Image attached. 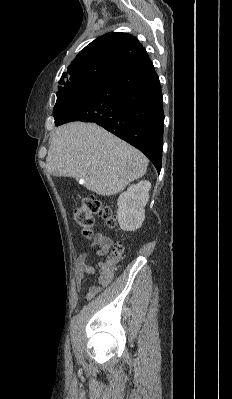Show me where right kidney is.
<instances>
[{"mask_svg":"<svg viewBox=\"0 0 232 399\" xmlns=\"http://www.w3.org/2000/svg\"><path fill=\"white\" fill-rule=\"evenodd\" d=\"M150 182L142 180L139 184L129 186L127 192L120 194L118 205V223L125 231H135L145 219V205L149 200Z\"/></svg>","mask_w":232,"mask_h":399,"instance_id":"right-kidney-1","label":"right kidney"}]
</instances>
